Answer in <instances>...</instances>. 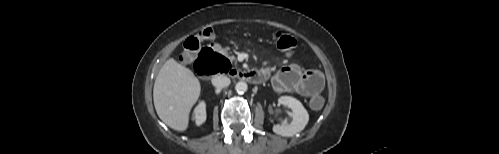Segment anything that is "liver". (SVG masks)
<instances>
[{"instance_id": "obj_1", "label": "liver", "mask_w": 499, "mask_h": 154, "mask_svg": "<svg viewBox=\"0 0 499 154\" xmlns=\"http://www.w3.org/2000/svg\"><path fill=\"white\" fill-rule=\"evenodd\" d=\"M200 91L201 85L194 73L173 58L168 59L160 68L153 88L157 115L170 128L185 131Z\"/></svg>"}]
</instances>
